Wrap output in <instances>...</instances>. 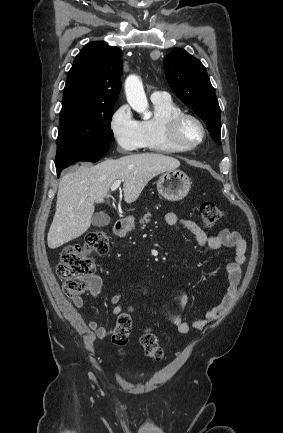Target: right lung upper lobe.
<instances>
[{
    "label": "right lung upper lobe",
    "instance_id": "obj_1",
    "mask_svg": "<svg viewBox=\"0 0 283 433\" xmlns=\"http://www.w3.org/2000/svg\"><path fill=\"white\" fill-rule=\"evenodd\" d=\"M122 51L93 41L76 56L63 92L62 109L97 103H115L121 89Z\"/></svg>",
    "mask_w": 283,
    "mask_h": 433
}]
</instances>
